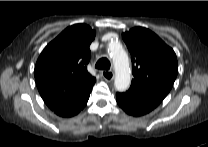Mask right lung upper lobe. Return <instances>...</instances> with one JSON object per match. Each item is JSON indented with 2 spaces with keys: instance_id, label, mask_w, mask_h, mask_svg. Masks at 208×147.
<instances>
[{
  "instance_id": "cb5924a9",
  "label": "right lung upper lobe",
  "mask_w": 208,
  "mask_h": 147,
  "mask_svg": "<svg viewBox=\"0 0 208 147\" xmlns=\"http://www.w3.org/2000/svg\"><path fill=\"white\" fill-rule=\"evenodd\" d=\"M95 31L85 24L66 28L40 54L35 66L38 91L51 110L69 106L91 92L96 78L87 71Z\"/></svg>"
}]
</instances>
